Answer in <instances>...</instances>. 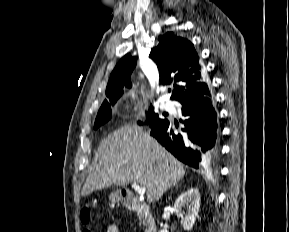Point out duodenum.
Listing matches in <instances>:
<instances>
[{"label":"duodenum","instance_id":"obj_1","mask_svg":"<svg viewBox=\"0 0 289 232\" xmlns=\"http://www.w3.org/2000/svg\"><path fill=\"white\" fill-rule=\"evenodd\" d=\"M121 203L129 210L136 212L143 220L145 232H157L155 217L146 204L139 203L130 190L120 192Z\"/></svg>","mask_w":289,"mask_h":232}]
</instances>
